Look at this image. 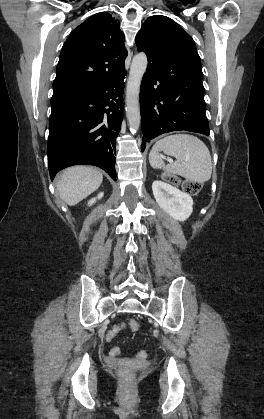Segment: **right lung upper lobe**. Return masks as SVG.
I'll list each match as a JSON object with an SVG mask.
<instances>
[{"label":"right lung upper lobe","instance_id":"obj_1","mask_svg":"<svg viewBox=\"0 0 264 419\" xmlns=\"http://www.w3.org/2000/svg\"><path fill=\"white\" fill-rule=\"evenodd\" d=\"M120 23L109 13L91 16L64 43L53 96L97 88L121 74L128 52Z\"/></svg>","mask_w":264,"mask_h":419}]
</instances>
